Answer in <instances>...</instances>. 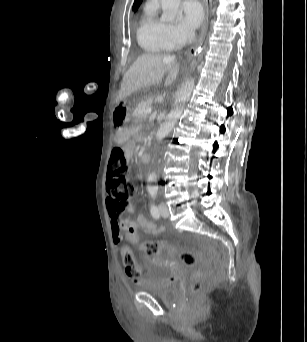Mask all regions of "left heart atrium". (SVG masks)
Listing matches in <instances>:
<instances>
[{
  "label": "left heart atrium",
  "mask_w": 307,
  "mask_h": 342,
  "mask_svg": "<svg viewBox=\"0 0 307 342\" xmlns=\"http://www.w3.org/2000/svg\"><path fill=\"white\" fill-rule=\"evenodd\" d=\"M204 19V10L200 3L189 1L182 7L181 28L184 42H189Z\"/></svg>",
  "instance_id": "left-heart-atrium-1"
}]
</instances>
